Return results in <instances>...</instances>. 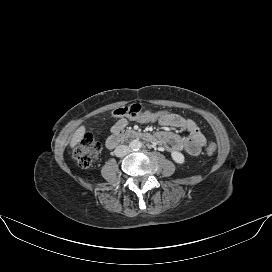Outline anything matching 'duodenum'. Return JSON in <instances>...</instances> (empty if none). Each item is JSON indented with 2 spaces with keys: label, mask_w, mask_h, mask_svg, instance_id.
I'll return each instance as SVG.
<instances>
[{
  "label": "duodenum",
  "mask_w": 272,
  "mask_h": 272,
  "mask_svg": "<svg viewBox=\"0 0 272 272\" xmlns=\"http://www.w3.org/2000/svg\"><path fill=\"white\" fill-rule=\"evenodd\" d=\"M140 139L144 141H152L154 136L147 132L130 130V129H119L107 139L106 146L108 149H113L118 146L124 140Z\"/></svg>",
  "instance_id": "obj_1"
}]
</instances>
